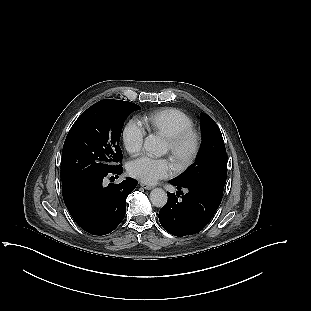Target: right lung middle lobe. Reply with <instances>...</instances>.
Segmentation results:
<instances>
[{
	"label": "right lung middle lobe",
	"instance_id": "1",
	"mask_svg": "<svg viewBox=\"0 0 311 311\" xmlns=\"http://www.w3.org/2000/svg\"><path fill=\"white\" fill-rule=\"evenodd\" d=\"M140 106L122 100H101L84 111L71 127L62 153V185L90 174L118 169L119 147L128 115Z\"/></svg>",
	"mask_w": 311,
	"mask_h": 311
}]
</instances>
